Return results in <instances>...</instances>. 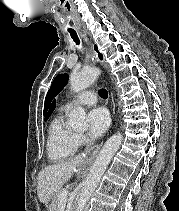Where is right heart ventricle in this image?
Segmentation results:
<instances>
[{
	"instance_id": "1",
	"label": "right heart ventricle",
	"mask_w": 179,
	"mask_h": 211,
	"mask_svg": "<svg viewBox=\"0 0 179 211\" xmlns=\"http://www.w3.org/2000/svg\"><path fill=\"white\" fill-rule=\"evenodd\" d=\"M78 148L76 133L59 112L50 122L47 137V154L53 163L64 162L74 156Z\"/></svg>"
}]
</instances>
